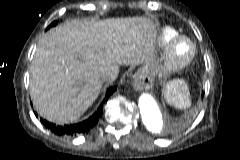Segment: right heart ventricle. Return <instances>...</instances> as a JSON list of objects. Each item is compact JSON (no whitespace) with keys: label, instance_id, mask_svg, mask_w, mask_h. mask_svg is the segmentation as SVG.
<instances>
[{"label":"right heart ventricle","instance_id":"obj_1","mask_svg":"<svg viewBox=\"0 0 240 160\" xmlns=\"http://www.w3.org/2000/svg\"><path fill=\"white\" fill-rule=\"evenodd\" d=\"M178 35V32L170 27V26H165L161 28L158 34V45L159 46H164L168 42H170L172 39H174Z\"/></svg>","mask_w":240,"mask_h":160}]
</instances>
